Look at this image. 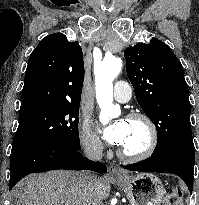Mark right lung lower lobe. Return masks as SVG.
I'll return each instance as SVG.
<instances>
[{
  "instance_id": "right-lung-lower-lobe-1",
  "label": "right lung lower lobe",
  "mask_w": 199,
  "mask_h": 205,
  "mask_svg": "<svg viewBox=\"0 0 199 205\" xmlns=\"http://www.w3.org/2000/svg\"><path fill=\"white\" fill-rule=\"evenodd\" d=\"M79 148H70L64 144H50L35 148L10 160L9 189L30 173L56 169L93 170L98 173L107 171L100 162L83 157Z\"/></svg>"
}]
</instances>
